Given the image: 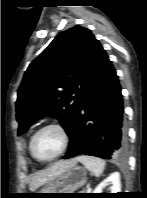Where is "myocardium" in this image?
Instances as JSON below:
<instances>
[{
    "label": "myocardium",
    "instance_id": "myocardium-1",
    "mask_svg": "<svg viewBox=\"0 0 147 198\" xmlns=\"http://www.w3.org/2000/svg\"><path fill=\"white\" fill-rule=\"evenodd\" d=\"M50 128H53L59 131L62 137V146H61V149L54 156L47 158V159H41L34 152V148H33L34 140L40 132L46 129H50ZM69 141H70L69 132L64 125H62L61 123H57V122L47 123L41 126L40 128H38L31 136L30 143H29L30 153L32 157L39 162H43V163L51 162L57 159L58 157H60L66 151L69 145Z\"/></svg>",
    "mask_w": 147,
    "mask_h": 198
}]
</instances>
